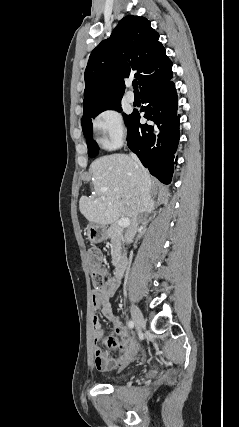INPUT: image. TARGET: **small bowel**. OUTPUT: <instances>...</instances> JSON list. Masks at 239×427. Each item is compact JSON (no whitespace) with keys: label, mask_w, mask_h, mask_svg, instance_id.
<instances>
[{"label":"small bowel","mask_w":239,"mask_h":427,"mask_svg":"<svg viewBox=\"0 0 239 427\" xmlns=\"http://www.w3.org/2000/svg\"><path fill=\"white\" fill-rule=\"evenodd\" d=\"M119 287L118 279H108L104 284L92 291V307L101 309L104 318L114 321L115 332L119 338L110 336L104 340L108 348H116L120 351L117 357H109L100 346L102 336L98 317L92 319L94 332V364L99 371L120 370L132 362L139 349V343L127 331V329L115 318L110 305V298L114 296Z\"/></svg>","instance_id":"obj_1"}]
</instances>
